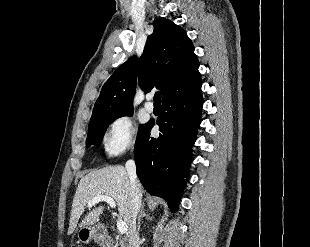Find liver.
I'll use <instances>...</instances> for the list:
<instances>
[{
	"instance_id": "6515ba94",
	"label": "liver",
	"mask_w": 310,
	"mask_h": 247,
	"mask_svg": "<svg viewBox=\"0 0 310 247\" xmlns=\"http://www.w3.org/2000/svg\"><path fill=\"white\" fill-rule=\"evenodd\" d=\"M130 181L123 166H106L93 170L84 176L76 189L73 198L68 234H72L88 202L100 195L110 196L117 203L119 216L129 226L130 216ZM142 193V189H141ZM104 206L89 211L82 220V226H90L99 221Z\"/></svg>"
}]
</instances>
